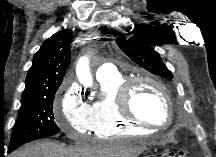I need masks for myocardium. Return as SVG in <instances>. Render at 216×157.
<instances>
[{
  "mask_svg": "<svg viewBox=\"0 0 216 157\" xmlns=\"http://www.w3.org/2000/svg\"><path fill=\"white\" fill-rule=\"evenodd\" d=\"M149 83L159 89L164 101L165 107L167 111V119L165 123L162 125L154 124L150 121L140 118L137 116L132 108V98L134 95V91L136 87L141 83ZM117 103H118V110L120 115L130 121L131 123L140 126V127H147V128H154V129H163L166 128L172 121L173 118V111L171 106V101L169 97V93L167 88L158 80L148 77V76H137L131 77L122 83L117 91Z\"/></svg>",
  "mask_w": 216,
  "mask_h": 157,
  "instance_id": "myocardium-1",
  "label": "myocardium"
}]
</instances>
